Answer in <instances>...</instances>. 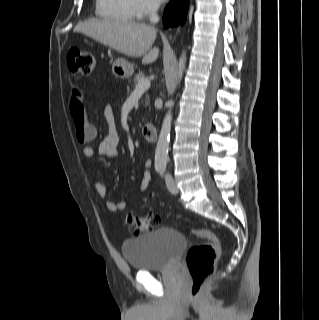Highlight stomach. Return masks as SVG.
<instances>
[{
  "mask_svg": "<svg viewBox=\"0 0 319 320\" xmlns=\"http://www.w3.org/2000/svg\"><path fill=\"white\" fill-rule=\"evenodd\" d=\"M133 72V65L123 58L116 59L112 65V73L119 79H127Z\"/></svg>",
  "mask_w": 319,
  "mask_h": 320,
  "instance_id": "obj_1",
  "label": "stomach"
}]
</instances>
